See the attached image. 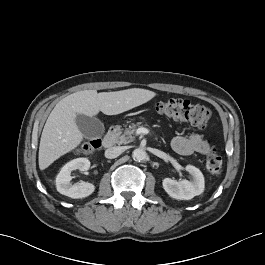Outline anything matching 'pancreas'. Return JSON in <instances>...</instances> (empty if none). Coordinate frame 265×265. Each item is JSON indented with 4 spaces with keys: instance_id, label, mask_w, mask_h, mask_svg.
Here are the masks:
<instances>
[{
    "instance_id": "1",
    "label": "pancreas",
    "mask_w": 265,
    "mask_h": 265,
    "mask_svg": "<svg viewBox=\"0 0 265 265\" xmlns=\"http://www.w3.org/2000/svg\"><path fill=\"white\" fill-rule=\"evenodd\" d=\"M139 127V124H131L128 128L121 129L119 126L113 129L112 133L115 135V143L128 144L134 141V134Z\"/></svg>"
}]
</instances>
